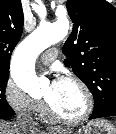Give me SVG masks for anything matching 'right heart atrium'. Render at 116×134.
Here are the masks:
<instances>
[{
    "mask_svg": "<svg viewBox=\"0 0 116 134\" xmlns=\"http://www.w3.org/2000/svg\"><path fill=\"white\" fill-rule=\"evenodd\" d=\"M3 96L9 108L20 115H34L44 108L42 100L29 96L13 79H8Z\"/></svg>",
    "mask_w": 116,
    "mask_h": 134,
    "instance_id": "1",
    "label": "right heart atrium"
}]
</instances>
